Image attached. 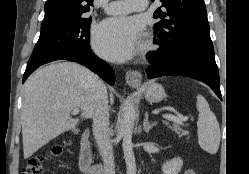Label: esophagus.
Instances as JSON below:
<instances>
[{
    "label": "esophagus",
    "mask_w": 249,
    "mask_h": 174,
    "mask_svg": "<svg viewBox=\"0 0 249 174\" xmlns=\"http://www.w3.org/2000/svg\"><path fill=\"white\" fill-rule=\"evenodd\" d=\"M126 82L132 86H138L141 84L142 75L139 71L129 70L125 75Z\"/></svg>",
    "instance_id": "34e87169"
}]
</instances>
